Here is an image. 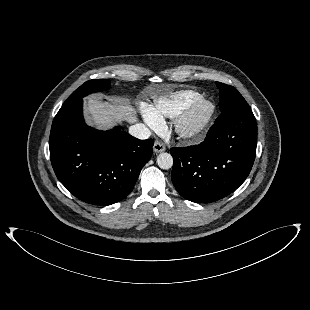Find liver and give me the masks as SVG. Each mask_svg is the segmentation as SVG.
<instances>
[{
  "mask_svg": "<svg viewBox=\"0 0 310 310\" xmlns=\"http://www.w3.org/2000/svg\"><path fill=\"white\" fill-rule=\"evenodd\" d=\"M86 112L89 115V123L98 129L111 128L116 122L135 123L138 120L136 109L127 100L112 104L96 97H89Z\"/></svg>",
  "mask_w": 310,
  "mask_h": 310,
  "instance_id": "1",
  "label": "liver"
}]
</instances>
